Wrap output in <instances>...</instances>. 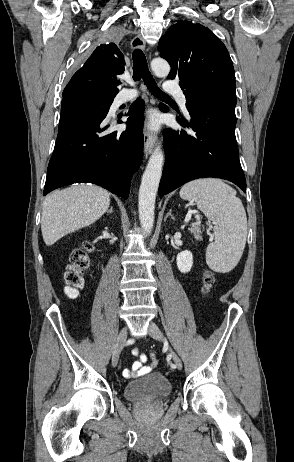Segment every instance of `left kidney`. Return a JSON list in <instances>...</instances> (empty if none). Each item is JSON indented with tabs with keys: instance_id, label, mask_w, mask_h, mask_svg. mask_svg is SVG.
Returning a JSON list of instances; mask_svg holds the SVG:
<instances>
[{
	"instance_id": "obj_1",
	"label": "left kidney",
	"mask_w": 294,
	"mask_h": 462,
	"mask_svg": "<svg viewBox=\"0 0 294 462\" xmlns=\"http://www.w3.org/2000/svg\"><path fill=\"white\" fill-rule=\"evenodd\" d=\"M177 267L181 273H188L193 265V255L190 251L180 252L176 258Z\"/></svg>"
}]
</instances>
